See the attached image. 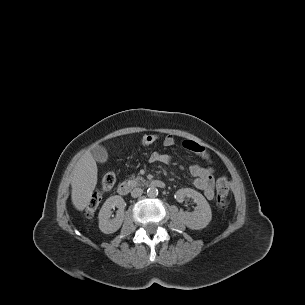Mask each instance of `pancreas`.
<instances>
[{
  "instance_id": "cf45deb5",
  "label": "pancreas",
  "mask_w": 305,
  "mask_h": 305,
  "mask_svg": "<svg viewBox=\"0 0 305 305\" xmlns=\"http://www.w3.org/2000/svg\"><path fill=\"white\" fill-rule=\"evenodd\" d=\"M130 181L133 185H140V183L144 182L145 180L140 176L137 177L132 176Z\"/></svg>"
}]
</instances>
